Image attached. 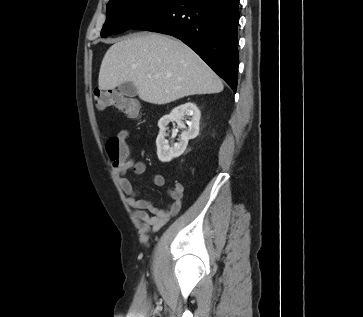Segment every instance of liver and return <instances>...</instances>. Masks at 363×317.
<instances>
[{
  "label": "liver",
  "mask_w": 363,
  "mask_h": 317,
  "mask_svg": "<svg viewBox=\"0 0 363 317\" xmlns=\"http://www.w3.org/2000/svg\"><path fill=\"white\" fill-rule=\"evenodd\" d=\"M128 81L133 82L141 100L158 105L189 95L219 93L224 88L221 79L185 43L146 32L116 42L102 60L101 90Z\"/></svg>",
  "instance_id": "obj_1"
}]
</instances>
